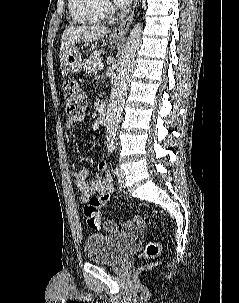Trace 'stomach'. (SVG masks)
I'll list each match as a JSON object with an SVG mask.
<instances>
[{
	"mask_svg": "<svg viewBox=\"0 0 239 303\" xmlns=\"http://www.w3.org/2000/svg\"><path fill=\"white\" fill-rule=\"evenodd\" d=\"M118 40H111V43H117ZM61 66L70 73H78L81 71L83 63L80 49L76 46L65 50L60 56Z\"/></svg>",
	"mask_w": 239,
	"mask_h": 303,
	"instance_id": "stomach-1",
	"label": "stomach"
}]
</instances>
